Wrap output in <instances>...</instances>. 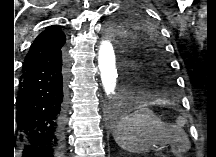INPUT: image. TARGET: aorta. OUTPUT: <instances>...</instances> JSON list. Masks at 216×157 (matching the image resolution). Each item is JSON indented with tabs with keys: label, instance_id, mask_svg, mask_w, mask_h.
I'll use <instances>...</instances> for the list:
<instances>
[{
	"label": "aorta",
	"instance_id": "obj_1",
	"mask_svg": "<svg viewBox=\"0 0 216 157\" xmlns=\"http://www.w3.org/2000/svg\"><path fill=\"white\" fill-rule=\"evenodd\" d=\"M98 67L104 91L111 97L116 92L118 73L113 46L108 39L103 40L99 46Z\"/></svg>",
	"mask_w": 216,
	"mask_h": 157
}]
</instances>
